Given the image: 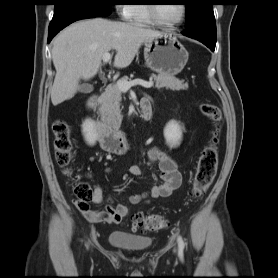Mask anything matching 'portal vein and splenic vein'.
I'll list each match as a JSON object with an SVG mask.
<instances>
[{
    "label": "portal vein and splenic vein",
    "mask_w": 278,
    "mask_h": 278,
    "mask_svg": "<svg viewBox=\"0 0 278 278\" xmlns=\"http://www.w3.org/2000/svg\"><path fill=\"white\" fill-rule=\"evenodd\" d=\"M102 59H103L104 63H108L111 60V54L109 52L104 53L102 56ZM153 84H154V82L152 80H150V81L134 80V81H130V82L120 80L116 83L117 87L123 92H126L131 87L137 86V85H140L144 88H151L153 86Z\"/></svg>",
    "instance_id": "portal-vein-and-splenic-vein-1"
}]
</instances>
